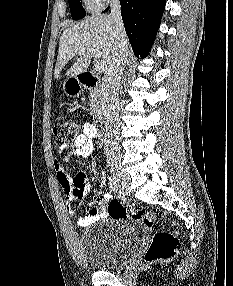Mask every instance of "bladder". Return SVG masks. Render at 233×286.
Listing matches in <instances>:
<instances>
[{"label": "bladder", "mask_w": 233, "mask_h": 286, "mask_svg": "<svg viewBox=\"0 0 233 286\" xmlns=\"http://www.w3.org/2000/svg\"><path fill=\"white\" fill-rule=\"evenodd\" d=\"M145 233L142 221L131 218L96 225L80 237L83 259L98 271L121 269L132 258Z\"/></svg>", "instance_id": "obj_1"}]
</instances>
